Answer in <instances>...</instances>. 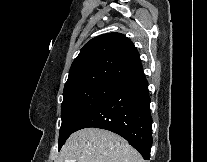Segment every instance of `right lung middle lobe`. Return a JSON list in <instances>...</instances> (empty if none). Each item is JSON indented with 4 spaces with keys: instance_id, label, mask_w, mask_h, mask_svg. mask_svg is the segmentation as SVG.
Here are the masks:
<instances>
[{
    "instance_id": "1",
    "label": "right lung middle lobe",
    "mask_w": 207,
    "mask_h": 162,
    "mask_svg": "<svg viewBox=\"0 0 207 162\" xmlns=\"http://www.w3.org/2000/svg\"><path fill=\"white\" fill-rule=\"evenodd\" d=\"M115 86L96 84L72 89L63 93L61 105L62 125L59 135V149L73 133L79 123L104 99Z\"/></svg>"
}]
</instances>
